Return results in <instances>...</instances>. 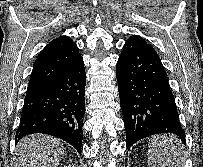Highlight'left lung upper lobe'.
Here are the masks:
<instances>
[{
	"label": "left lung upper lobe",
	"instance_id": "obj_1",
	"mask_svg": "<svg viewBox=\"0 0 203 167\" xmlns=\"http://www.w3.org/2000/svg\"><path fill=\"white\" fill-rule=\"evenodd\" d=\"M130 39L139 41V42H141V43H143V44H145V45H147V46L153 48L150 44H148V43H147L142 37H140V36L134 35V36H131Z\"/></svg>",
	"mask_w": 203,
	"mask_h": 167
}]
</instances>
